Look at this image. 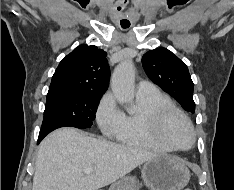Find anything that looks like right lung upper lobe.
Returning <instances> with one entry per match:
<instances>
[{"mask_svg":"<svg viewBox=\"0 0 234 190\" xmlns=\"http://www.w3.org/2000/svg\"><path fill=\"white\" fill-rule=\"evenodd\" d=\"M106 55L93 45L78 46L59 63L49 90L102 95L110 76Z\"/></svg>","mask_w":234,"mask_h":190,"instance_id":"1","label":"right lung upper lobe"}]
</instances>
